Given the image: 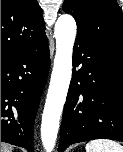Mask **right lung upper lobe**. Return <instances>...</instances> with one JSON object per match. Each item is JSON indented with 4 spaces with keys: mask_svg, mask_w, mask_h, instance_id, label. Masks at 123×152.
Instances as JSON below:
<instances>
[{
    "mask_svg": "<svg viewBox=\"0 0 123 152\" xmlns=\"http://www.w3.org/2000/svg\"><path fill=\"white\" fill-rule=\"evenodd\" d=\"M44 29L37 0H1V55L35 45L45 37Z\"/></svg>",
    "mask_w": 123,
    "mask_h": 152,
    "instance_id": "cb5924a9",
    "label": "right lung upper lobe"
}]
</instances>
